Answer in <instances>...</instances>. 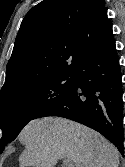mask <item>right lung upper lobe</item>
<instances>
[{
  "instance_id": "right-lung-upper-lobe-1",
  "label": "right lung upper lobe",
  "mask_w": 125,
  "mask_h": 167,
  "mask_svg": "<svg viewBox=\"0 0 125 167\" xmlns=\"http://www.w3.org/2000/svg\"><path fill=\"white\" fill-rule=\"evenodd\" d=\"M104 0H44L23 19L0 99L56 75L74 72L111 27Z\"/></svg>"
}]
</instances>
